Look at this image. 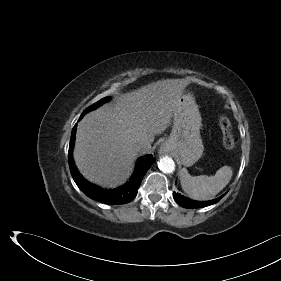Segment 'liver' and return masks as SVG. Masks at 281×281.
<instances>
[{
	"label": "liver",
	"instance_id": "obj_1",
	"mask_svg": "<svg viewBox=\"0 0 281 281\" xmlns=\"http://www.w3.org/2000/svg\"><path fill=\"white\" fill-rule=\"evenodd\" d=\"M187 79L158 80L88 113L79 122L74 161L90 182L114 188L129 176L137 146L151 143L173 117Z\"/></svg>",
	"mask_w": 281,
	"mask_h": 281
}]
</instances>
